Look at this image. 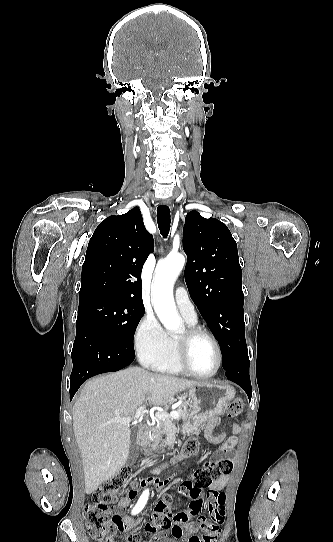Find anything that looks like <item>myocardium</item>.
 <instances>
[{
    "label": "myocardium",
    "mask_w": 333,
    "mask_h": 542,
    "mask_svg": "<svg viewBox=\"0 0 333 542\" xmlns=\"http://www.w3.org/2000/svg\"><path fill=\"white\" fill-rule=\"evenodd\" d=\"M199 337H206L207 339H209L216 350L217 364L214 371L209 374H198L194 372L189 366L188 356L190 344L193 340ZM174 354L182 371L189 376L199 379H208L214 377L219 372L222 365V351L219 342L217 341L215 336L209 331L195 325L189 326L181 336H177L174 339Z\"/></svg>",
    "instance_id": "1"
}]
</instances>
